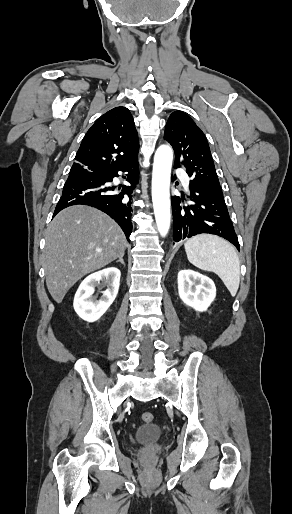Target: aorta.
<instances>
[{"instance_id":"1","label":"aorta","mask_w":292,"mask_h":514,"mask_svg":"<svg viewBox=\"0 0 292 514\" xmlns=\"http://www.w3.org/2000/svg\"><path fill=\"white\" fill-rule=\"evenodd\" d=\"M173 150L170 146H159L152 172V202L155 220L161 236H166L170 228V176Z\"/></svg>"}]
</instances>
